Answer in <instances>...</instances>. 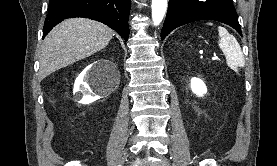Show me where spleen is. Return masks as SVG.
I'll return each instance as SVG.
<instances>
[{
  "mask_svg": "<svg viewBox=\"0 0 277 166\" xmlns=\"http://www.w3.org/2000/svg\"><path fill=\"white\" fill-rule=\"evenodd\" d=\"M208 25H212V23H208ZM218 32L220 37L218 45L226 57L227 65L233 70L243 67L244 55L235 37L221 26L218 27Z\"/></svg>",
  "mask_w": 277,
  "mask_h": 166,
  "instance_id": "spleen-1",
  "label": "spleen"
}]
</instances>
